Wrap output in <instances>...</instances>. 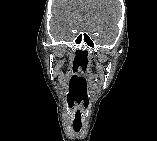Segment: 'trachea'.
<instances>
[{
    "label": "trachea",
    "instance_id": "obj_1",
    "mask_svg": "<svg viewBox=\"0 0 157 141\" xmlns=\"http://www.w3.org/2000/svg\"><path fill=\"white\" fill-rule=\"evenodd\" d=\"M75 132H79L81 130V126H73Z\"/></svg>",
    "mask_w": 157,
    "mask_h": 141
}]
</instances>
